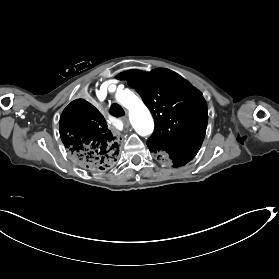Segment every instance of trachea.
I'll return each mask as SVG.
<instances>
[{
  "label": "trachea",
  "instance_id": "trachea-1",
  "mask_svg": "<svg viewBox=\"0 0 279 279\" xmlns=\"http://www.w3.org/2000/svg\"><path fill=\"white\" fill-rule=\"evenodd\" d=\"M110 114L113 116H123L125 115L124 109L117 103H113L110 107Z\"/></svg>",
  "mask_w": 279,
  "mask_h": 279
}]
</instances>
